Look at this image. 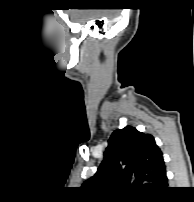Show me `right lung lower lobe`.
Wrapping results in <instances>:
<instances>
[{"label":"right lung lower lobe","mask_w":194,"mask_h":202,"mask_svg":"<svg viewBox=\"0 0 194 202\" xmlns=\"http://www.w3.org/2000/svg\"><path fill=\"white\" fill-rule=\"evenodd\" d=\"M164 194V191H162L161 193L155 195V196H162Z\"/></svg>","instance_id":"right-lung-lower-lobe-1"}]
</instances>
